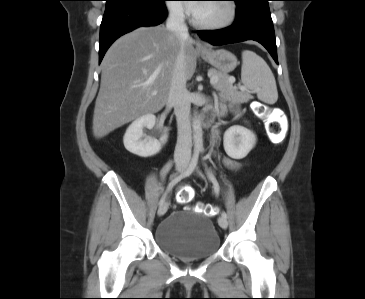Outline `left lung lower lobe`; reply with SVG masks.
<instances>
[{
  "instance_id": "obj_1",
  "label": "left lung lower lobe",
  "mask_w": 365,
  "mask_h": 299,
  "mask_svg": "<svg viewBox=\"0 0 365 299\" xmlns=\"http://www.w3.org/2000/svg\"><path fill=\"white\" fill-rule=\"evenodd\" d=\"M269 0H243L236 2V20L227 28L202 30L198 35L213 45L254 40L261 43L278 64L273 22Z\"/></svg>"
}]
</instances>
